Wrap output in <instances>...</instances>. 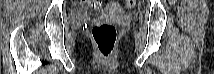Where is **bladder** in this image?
Here are the masks:
<instances>
[{
	"instance_id": "31cf9c89",
	"label": "bladder",
	"mask_w": 214,
	"mask_h": 74,
	"mask_svg": "<svg viewBox=\"0 0 214 74\" xmlns=\"http://www.w3.org/2000/svg\"><path fill=\"white\" fill-rule=\"evenodd\" d=\"M87 17V14L82 10H73L70 14L71 22L82 21Z\"/></svg>"
}]
</instances>
